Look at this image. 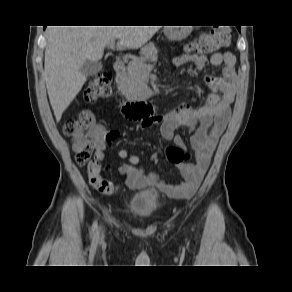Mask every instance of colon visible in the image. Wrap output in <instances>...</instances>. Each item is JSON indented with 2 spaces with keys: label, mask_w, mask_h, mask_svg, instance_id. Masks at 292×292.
Returning a JSON list of instances; mask_svg holds the SVG:
<instances>
[{
  "label": "colon",
  "mask_w": 292,
  "mask_h": 292,
  "mask_svg": "<svg viewBox=\"0 0 292 292\" xmlns=\"http://www.w3.org/2000/svg\"><path fill=\"white\" fill-rule=\"evenodd\" d=\"M231 30L226 26L213 27L203 33L193 44L192 49L200 54H210L228 46ZM112 95L111 78L106 73L97 74L84 92L85 102L106 99ZM98 126L89 111H82L76 118L69 119L63 126V132L73 143L75 160L79 165H87L89 182L94 189L103 194L115 192V185L100 174L101 166L97 151L95 152V133ZM165 159L169 163L179 165L185 163L188 154L179 146H168L163 154L154 153L151 160L155 163Z\"/></svg>",
  "instance_id": "colon-1"
}]
</instances>
